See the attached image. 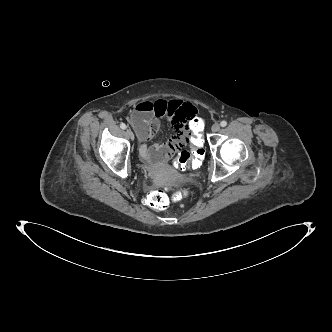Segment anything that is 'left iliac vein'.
Returning <instances> with one entry per match:
<instances>
[{"label":"left iliac vein","instance_id":"1","mask_svg":"<svg viewBox=\"0 0 332 332\" xmlns=\"http://www.w3.org/2000/svg\"><path fill=\"white\" fill-rule=\"evenodd\" d=\"M211 130H212V132H218L220 130L219 123L213 124Z\"/></svg>","mask_w":332,"mask_h":332}]
</instances>
